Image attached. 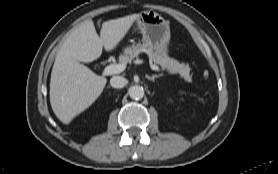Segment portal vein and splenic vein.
Listing matches in <instances>:
<instances>
[{
    "instance_id": "1",
    "label": "portal vein and splenic vein",
    "mask_w": 278,
    "mask_h": 174,
    "mask_svg": "<svg viewBox=\"0 0 278 174\" xmlns=\"http://www.w3.org/2000/svg\"><path fill=\"white\" fill-rule=\"evenodd\" d=\"M150 67L152 70L154 71H160V68L155 65V64H150ZM126 65L123 63H119V64H111L105 67L104 69V74L105 75H112V74H118L121 73L125 70Z\"/></svg>"
}]
</instances>
